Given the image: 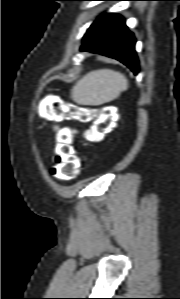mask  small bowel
Listing matches in <instances>:
<instances>
[{
	"label": "small bowel",
	"instance_id": "1",
	"mask_svg": "<svg viewBox=\"0 0 180 299\" xmlns=\"http://www.w3.org/2000/svg\"><path fill=\"white\" fill-rule=\"evenodd\" d=\"M55 129H56V130H58V129H59V127H58V126H55Z\"/></svg>",
	"mask_w": 180,
	"mask_h": 299
}]
</instances>
